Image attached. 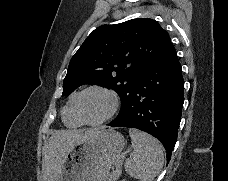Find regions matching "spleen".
Returning a JSON list of instances; mask_svg holds the SVG:
<instances>
[{
  "label": "spleen",
  "instance_id": "obj_1",
  "mask_svg": "<svg viewBox=\"0 0 228 181\" xmlns=\"http://www.w3.org/2000/svg\"><path fill=\"white\" fill-rule=\"evenodd\" d=\"M133 151L124 169L133 179L154 181L164 165V151L157 139L138 129H129Z\"/></svg>",
  "mask_w": 228,
  "mask_h": 181
}]
</instances>
